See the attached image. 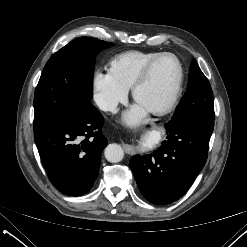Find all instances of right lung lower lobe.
Wrapping results in <instances>:
<instances>
[{"label": "right lung lower lobe", "mask_w": 247, "mask_h": 247, "mask_svg": "<svg viewBox=\"0 0 247 247\" xmlns=\"http://www.w3.org/2000/svg\"><path fill=\"white\" fill-rule=\"evenodd\" d=\"M103 124L100 112L87 103L34 132L47 175L62 193L81 196L93 187L107 146L101 131Z\"/></svg>", "instance_id": "98d812e1"}]
</instances>
